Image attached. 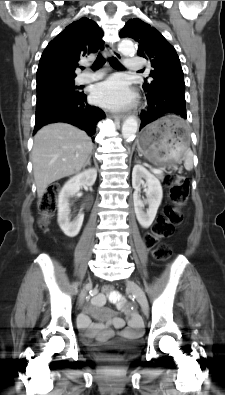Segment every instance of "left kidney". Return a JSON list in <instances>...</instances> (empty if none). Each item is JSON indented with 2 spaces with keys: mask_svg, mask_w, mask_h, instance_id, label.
<instances>
[{
  "mask_svg": "<svg viewBox=\"0 0 225 395\" xmlns=\"http://www.w3.org/2000/svg\"><path fill=\"white\" fill-rule=\"evenodd\" d=\"M141 185L147 186L146 194L148 198L145 201L141 200ZM132 186L134 188L133 201L137 220L142 227L148 228L154 221L161 204L163 197L162 186L155 175L139 164L133 167ZM144 204L149 205L146 213L143 211Z\"/></svg>",
  "mask_w": 225,
  "mask_h": 395,
  "instance_id": "1",
  "label": "left kidney"
}]
</instances>
